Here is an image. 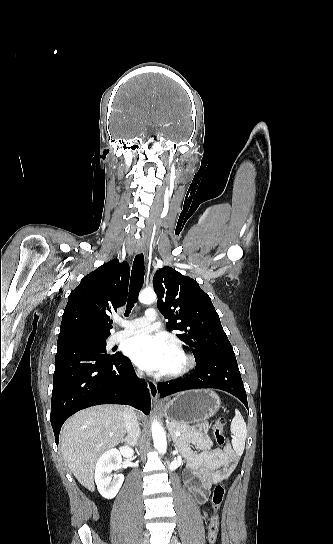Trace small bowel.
I'll use <instances>...</instances> for the list:
<instances>
[{
	"label": "small bowel",
	"instance_id": "obj_1",
	"mask_svg": "<svg viewBox=\"0 0 333 544\" xmlns=\"http://www.w3.org/2000/svg\"><path fill=\"white\" fill-rule=\"evenodd\" d=\"M206 428L205 423L200 424L198 430L181 441V449L187 461L183 473L184 482L201 504L207 501L213 485L228 478L239 459L230 444L224 449L214 448ZM190 445L198 451H193ZM203 514L206 518L207 512Z\"/></svg>",
	"mask_w": 333,
	"mask_h": 544
}]
</instances>
